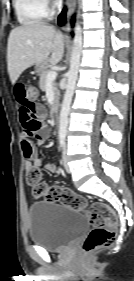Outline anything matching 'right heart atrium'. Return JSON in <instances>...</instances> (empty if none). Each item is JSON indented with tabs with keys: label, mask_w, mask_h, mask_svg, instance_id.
Instances as JSON below:
<instances>
[{
	"label": "right heart atrium",
	"mask_w": 134,
	"mask_h": 281,
	"mask_svg": "<svg viewBox=\"0 0 134 281\" xmlns=\"http://www.w3.org/2000/svg\"><path fill=\"white\" fill-rule=\"evenodd\" d=\"M47 3H49L52 7L57 5L58 0H45Z\"/></svg>",
	"instance_id": "d8ad5b80"
}]
</instances>
